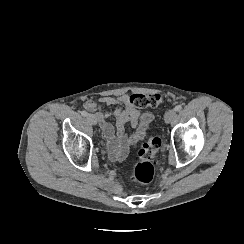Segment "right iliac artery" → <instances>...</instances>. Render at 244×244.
Instances as JSON below:
<instances>
[{
    "mask_svg": "<svg viewBox=\"0 0 244 244\" xmlns=\"http://www.w3.org/2000/svg\"><path fill=\"white\" fill-rule=\"evenodd\" d=\"M81 115H82V116H87L88 113H87L85 110H83V111H81Z\"/></svg>",
    "mask_w": 244,
    "mask_h": 244,
    "instance_id": "right-iliac-artery-1",
    "label": "right iliac artery"
}]
</instances>
